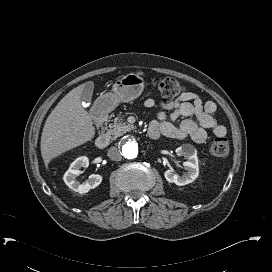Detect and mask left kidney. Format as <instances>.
<instances>
[{
    "label": "left kidney",
    "instance_id": "1",
    "mask_svg": "<svg viewBox=\"0 0 272 272\" xmlns=\"http://www.w3.org/2000/svg\"><path fill=\"white\" fill-rule=\"evenodd\" d=\"M175 151L177 156H184L187 158V161L183 164L187 172L180 176L171 170H166L164 176L168 182L175 183L178 186H184L193 182L198 177L199 167L197 151L195 147L190 144L178 147Z\"/></svg>",
    "mask_w": 272,
    "mask_h": 272
}]
</instances>
